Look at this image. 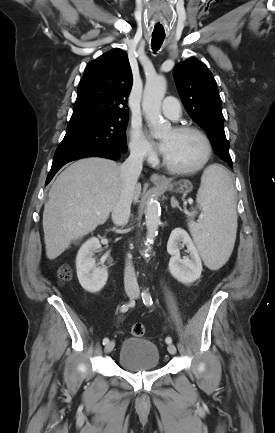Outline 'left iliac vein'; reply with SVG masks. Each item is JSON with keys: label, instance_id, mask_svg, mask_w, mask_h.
<instances>
[{"label": "left iliac vein", "instance_id": "obj_1", "mask_svg": "<svg viewBox=\"0 0 275 433\" xmlns=\"http://www.w3.org/2000/svg\"><path fill=\"white\" fill-rule=\"evenodd\" d=\"M138 297H139V294L135 293L134 298H138ZM167 350L171 355L176 354V347L173 344H169Z\"/></svg>", "mask_w": 275, "mask_h": 433}]
</instances>
